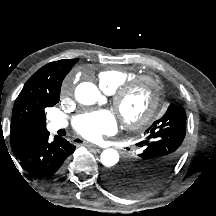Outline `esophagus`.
<instances>
[{
	"instance_id": "obj_1",
	"label": "esophagus",
	"mask_w": 216,
	"mask_h": 216,
	"mask_svg": "<svg viewBox=\"0 0 216 216\" xmlns=\"http://www.w3.org/2000/svg\"><path fill=\"white\" fill-rule=\"evenodd\" d=\"M76 141L78 140H81L82 141V144L87 146V147H92V148H99L97 145L93 144V143H90L86 140H82L81 138H75Z\"/></svg>"
}]
</instances>
